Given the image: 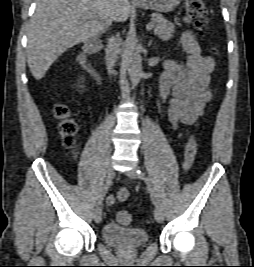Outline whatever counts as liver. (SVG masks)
I'll return each mask as SVG.
<instances>
[{"mask_svg":"<svg viewBox=\"0 0 254 267\" xmlns=\"http://www.w3.org/2000/svg\"><path fill=\"white\" fill-rule=\"evenodd\" d=\"M131 13L128 0H37L29 22L27 62L36 80L67 49L85 42Z\"/></svg>","mask_w":254,"mask_h":267,"instance_id":"obj_1","label":"liver"}]
</instances>
